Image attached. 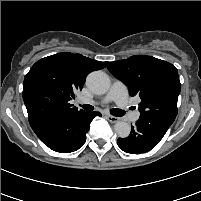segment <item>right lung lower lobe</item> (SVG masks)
<instances>
[{
	"instance_id": "obj_1",
	"label": "right lung lower lobe",
	"mask_w": 201,
	"mask_h": 201,
	"mask_svg": "<svg viewBox=\"0 0 201 201\" xmlns=\"http://www.w3.org/2000/svg\"><path fill=\"white\" fill-rule=\"evenodd\" d=\"M99 112L82 111L72 116L39 115L29 123L39 139L50 149L60 153L78 150L86 141V133Z\"/></svg>"
}]
</instances>
